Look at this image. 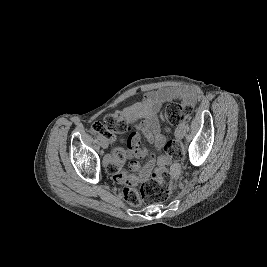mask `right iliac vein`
I'll return each instance as SVG.
<instances>
[{
  "mask_svg": "<svg viewBox=\"0 0 267 267\" xmlns=\"http://www.w3.org/2000/svg\"><path fill=\"white\" fill-rule=\"evenodd\" d=\"M101 144H102V146H104L106 144V141L102 139Z\"/></svg>",
  "mask_w": 267,
  "mask_h": 267,
  "instance_id": "right-iliac-vein-1",
  "label": "right iliac vein"
}]
</instances>
